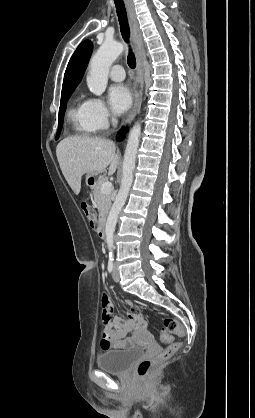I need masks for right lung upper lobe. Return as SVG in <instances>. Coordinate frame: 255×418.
<instances>
[{"label": "right lung upper lobe", "mask_w": 255, "mask_h": 418, "mask_svg": "<svg viewBox=\"0 0 255 418\" xmlns=\"http://www.w3.org/2000/svg\"><path fill=\"white\" fill-rule=\"evenodd\" d=\"M93 49L92 42H82L72 55L64 74L62 92L74 90L80 83Z\"/></svg>", "instance_id": "cb5924a9"}]
</instances>
